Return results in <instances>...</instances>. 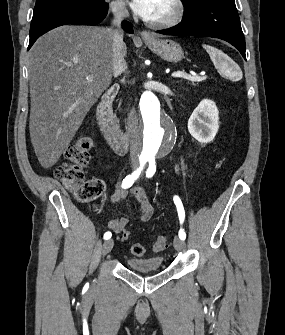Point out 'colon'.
Returning a JSON list of instances; mask_svg holds the SVG:
<instances>
[{"label": "colon", "instance_id": "colon-1", "mask_svg": "<svg viewBox=\"0 0 285 335\" xmlns=\"http://www.w3.org/2000/svg\"><path fill=\"white\" fill-rule=\"evenodd\" d=\"M91 147L92 140L89 137H80L66 150V162L58 166L55 171L57 179L82 203L96 200L105 190L102 180L97 178L86 179L84 175V167L90 160ZM129 237L130 232L125 230L121 240L126 242ZM167 246V239L164 236H158L154 241L153 250L160 252L165 250ZM131 252L135 256H142L145 253V248L141 244H133Z\"/></svg>", "mask_w": 285, "mask_h": 335}]
</instances>
